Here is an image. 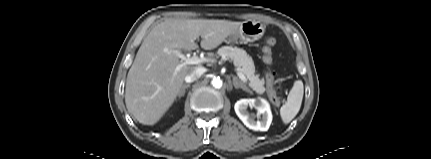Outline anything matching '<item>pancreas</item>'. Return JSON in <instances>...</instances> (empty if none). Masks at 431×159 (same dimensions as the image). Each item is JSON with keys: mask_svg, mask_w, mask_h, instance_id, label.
Instances as JSON below:
<instances>
[{"mask_svg": "<svg viewBox=\"0 0 431 159\" xmlns=\"http://www.w3.org/2000/svg\"><path fill=\"white\" fill-rule=\"evenodd\" d=\"M218 55L224 59L232 60L234 64L249 80V87L257 94L267 92L270 99L274 98V91L271 88H265L264 79H259V75H255V66L252 58L245 50L238 47L222 46L218 50Z\"/></svg>", "mask_w": 431, "mask_h": 159, "instance_id": "pancreas-1", "label": "pancreas"}]
</instances>
